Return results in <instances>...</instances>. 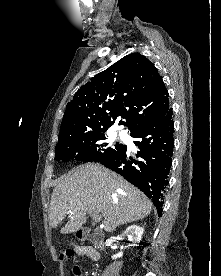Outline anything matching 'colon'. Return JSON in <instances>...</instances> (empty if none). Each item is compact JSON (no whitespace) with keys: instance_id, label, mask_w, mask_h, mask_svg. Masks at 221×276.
<instances>
[{"instance_id":"1","label":"colon","mask_w":221,"mask_h":276,"mask_svg":"<svg viewBox=\"0 0 221 276\" xmlns=\"http://www.w3.org/2000/svg\"><path fill=\"white\" fill-rule=\"evenodd\" d=\"M74 257H75V254H74V251L73 250H66L65 252H63L61 255H60V258L62 261H65V262H70V261H73L74 260ZM76 272L78 273L79 270H76Z\"/></svg>"}]
</instances>
